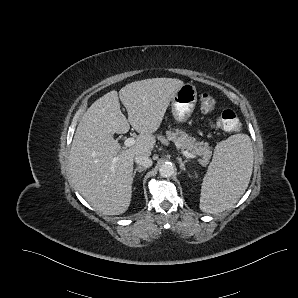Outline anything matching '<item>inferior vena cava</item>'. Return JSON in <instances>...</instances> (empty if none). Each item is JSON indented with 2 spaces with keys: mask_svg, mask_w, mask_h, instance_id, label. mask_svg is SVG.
<instances>
[{
  "mask_svg": "<svg viewBox=\"0 0 298 298\" xmlns=\"http://www.w3.org/2000/svg\"><path fill=\"white\" fill-rule=\"evenodd\" d=\"M135 162L139 165H142L144 167H151L152 164H153V161L151 158H149L148 156H145V155H137L135 158H134Z\"/></svg>",
  "mask_w": 298,
  "mask_h": 298,
  "instance_id": "obj_1",
  "label": "inferior vena cava"
}]
</instances>
